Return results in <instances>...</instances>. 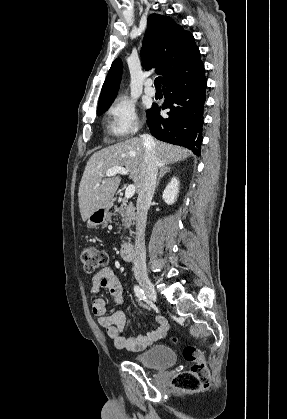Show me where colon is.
<instances>
[{"mask_svg": "<svg viewBox=\"0 0 287 419\" xmlns=\"http://www.w3.org/2000/svg\"><path fill=\"white\" fill-rule=\"evenodd\" d=\"M84 271L91 274L105 268L107 254L93 246L85 247L81 253ZM183 356L192 365L189 370L177 373L172 378L174 387L197 391L204 389L209 383V370L202 352L194 346L188 345L183 349Z\"/></svg>", "mask_w": 287, "mask_h": 419, "instance_id": "colon-1", "label": "colon"}]
</instances>
